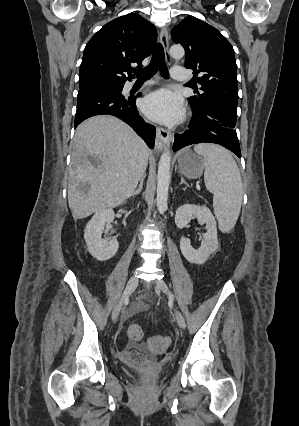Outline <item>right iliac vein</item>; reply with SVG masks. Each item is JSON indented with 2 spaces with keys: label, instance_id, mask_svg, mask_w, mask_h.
Returning a JSON list of instances; mask_svg holds the SVG:
<instances>
[{
  "label": "right iliac vein",
  "instance_id": "obj_1",
  "mask_svg": "<svg viewBox=\"0 0 299 426\" xmlns=\"http://www.w3.org/2000/svg\"><path fill=\"white\" fill-rule=\"evenodd\" d=\"M137 285H138V279L135 276L130 277L126 284L123 295L121 296V298L119 299V301L116 303V305L113 308L112 315H111L112 320H115L118 317L122 309V306L124 305L126 300L129 298V296L132 294V292L136 289Z\"/></svg>",
  "mask_w": 299,
  "mask_h": 426
}]
</instances>
